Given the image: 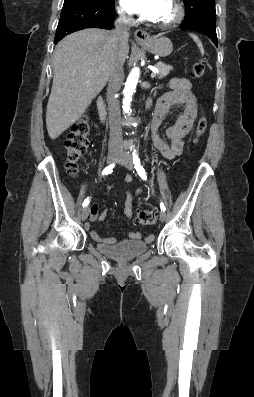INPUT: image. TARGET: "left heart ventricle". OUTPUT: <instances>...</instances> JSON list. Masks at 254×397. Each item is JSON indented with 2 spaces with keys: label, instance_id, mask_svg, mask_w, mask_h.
<instances>
[{
  "label": "left heart ventricle",
  "instance_id": "obj_1",
  "mask_svg": "<svg viewBox=\"0 0 254 397\" xmlns=\"http://www.w3.org/2000/svg\"><path fill=\"white\" fill-rule=\"evenodd\" d=\"M174 6L172 2L168 1L162 13L155 19V22L162 23L171 20L174 16Z\"/></svg>",
  "mask_w": 254,
  "mask_h": 397
}]
</instances>
